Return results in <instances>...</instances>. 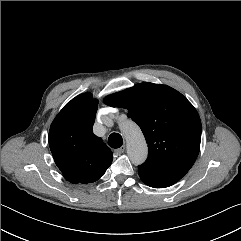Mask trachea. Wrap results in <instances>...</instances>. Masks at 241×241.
Instances as JSON below:
<instances>
[{"label": "trachea", "mask_w": 241, "mask_h": 241, "mask_svg": "<svg viewBox=\"0 0 241 241\" xmlns=\"http://www.w3.org/2000/svg\"><path fill=\"white\" fill-rule=\"evenodd\" d=\"M123 144L122 136L118 133H112L108 138V145L112 148H119Z\"/></svg>", "instance_id": "1"}]
</instances>
